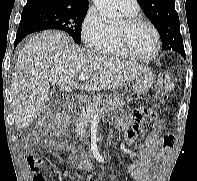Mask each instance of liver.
<instances>
[{"mask_svg": "<svg viewBox=\"0 0 197 181\" xmlns=\"http://www.w3.org/2000/svg\"><path fill=\"white\" fill-rule=\"evenodd\" d=\"M148 67L124 62L70 45L69 37L59 31L33 35L21 50L11 82L15 125L24 129L45 109L50 86L66 91L116 89L134 81ZM76 74L89 76L78 86Z\"/></svg>", "mask_w": 197, "mask_h": 181, "instance_id": "obj_1", "label": "liver"}]
</instances>
